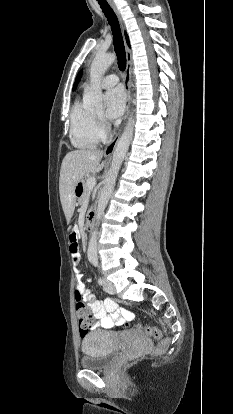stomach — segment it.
<instances>
[{"instance_id": "stomach-1", "label": "stomach", "mask_w": 233, "mask_h": 414, "mask_svg": "<svg viewBox=\"0 0 233 414\" xmlns=\"http://www.w3.org/2000/svg\"><path fill=\"white\" fill-rule=\"evenodd\" d=\"M82 190L84 191V183L83 185H81V183H78L74 189L75 196L77 197L83 195Z\"/></svg>"}]
</instances>
